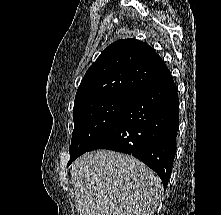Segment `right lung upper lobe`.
Returning <instances> with one entry per match:
<instances>
[{
  "mask_svg": "<svg viewBox=\"0 0 221 215\" xmlns=\"http://www.w3.org/2000/svg\"><path fill=\"white\" fill-rule=\"evenodd\" d=\"M170 73L146 43L122 39L110 44L89 67L74 105L105 96L134 97Z\"/></svg>",
  "mask_w": 221,
  "mask_h": 215,
  "instance_id": "right-lung-upper-lobe-1",
  "label": "right lung upper lobe"
}]
</instances>
